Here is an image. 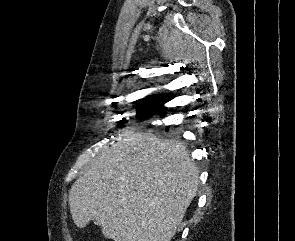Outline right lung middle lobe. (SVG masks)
<instances>
[{
  "label": "right lung middle lobe",
  "instance_id": "1",
  "mask_svg": "<svg viewBox=\"0 0 295 241\" xmlns=\"http://www.w3.org/2000/svg\"><path fill=\"white\" fill-rule=\"evenodd\" d=\"M151 114H152L151 112H146V111H142V110L137 109L136 117L138 120L142 121V120L150 117Z\"/></svg>",
  "mask_w": 295,
  "mask_h": 241
}]
</instances>
